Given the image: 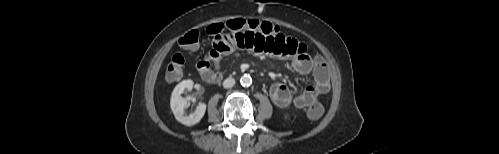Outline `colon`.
<instances>
[{"instance_id": "obj_1", "label": "colon", "mask_w": 499, "mask_h": 154, "mask_svg": "<svg viewBox=\"0 0 499 154\" xmlns=\"http://www.w3.org/2000/svg\"><path fill=\"white\" fill-rule=\"evenodd\" d=\"M255 30L266 35H277L279 28L267 21L254 19H232L225 23H215L207 27L206 31L211 36L219 35L226 31ZM199 42V33L195 30L185 33L179 40V45L184 49H195ZM185 64L184 56L180 53L175 54L170 59L166 68V78L171 81L178 80L183 73ZM324 108L318 101L313 102L307 111L310 119H318L322 116Z\"/></svg>"}]
</instances>
